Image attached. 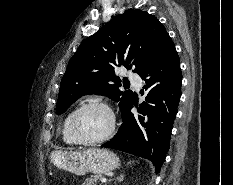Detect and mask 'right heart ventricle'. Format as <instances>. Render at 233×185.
I'll return each instance as SVG.
<instances>
[{
	"mask_svg": "<svg viewBox=\"0 0 233 185\" xmlns=\"http://www.w3.org/2000/svg\"><path fill=\"white\" fill-rule=\"evenodd\" d=\"M78 107H74L72 108L64 117L63 123H62V128H61V132H62V139L63 141L68 144V145H77L78 142H76L73 137L70 134L69 131V121L70 118L72 116V114L74 113V111L77 109Z\"/></svg>",
	"mask_w": 233,
	"mask_h": 185,
	"instance_id": "right-heart-ventricle-1",
	"label": "right heart ventricle"
}]
</instances>
